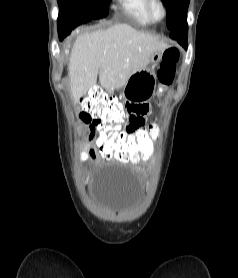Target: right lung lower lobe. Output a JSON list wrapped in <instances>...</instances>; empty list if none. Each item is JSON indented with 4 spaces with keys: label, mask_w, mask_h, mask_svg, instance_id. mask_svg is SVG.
Here are the masks:
<instances>
[{
    "label": "right lung lower lobe",
    "mask_w": 238,
    "mask_h": 278,
    "mask_svg": "<svg viewBox=\"0 0 238 278\" xmlns=\"http://www.w3.org/2000/svg\"><path fill=\"white\" fill-rule=\"evenodd\" d=\"M84 20V14L77 8L67 7L60 9L57 20L59 38L62 40L76 26L85 23Z\"/></svg>",
    "instance_id": "obj_1"
}]
</instances>
